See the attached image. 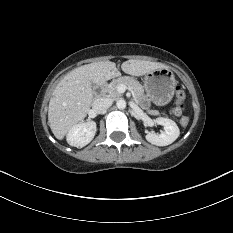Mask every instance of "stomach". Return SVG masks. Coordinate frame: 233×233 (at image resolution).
I'll return each mask as SVG.
<instances>
[{
    "label": "stomach",
    "mask_w": 233,
    "mask_h": 233,
    "mask_svg": "<svg viewBox=\"0 0 233 233\" xmlns=\"http://www.w3.org/2000/svg\"><path fill=\"white\" fill-rule=\"evenodd\" d=\"M176 79L169 69H158L145 74L144 88L147 95L157 105H166L175 94Z\"/></svg>",
    "instance_id": "obj_1"
}]
</instances>
